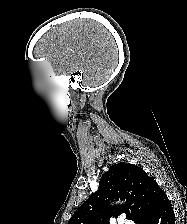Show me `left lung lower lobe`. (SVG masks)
<instances>
[{
	"mask_svg": "<svg viewBox=\"0 0 187 224\" xmlns=\"http://www.w3.org/2000/svg\"><path fill=\"white\" fill-rule=\"evenodd\" d=\"M139 224H175V214L168 197L161 189L148 215Z\"/></svg>",
	"mask_w": 187,
	"mask_h": 224,
	"instance_id": "left-lung-lower-lobe-1",
	"label": "left lung lower lobe"
}]
</instances>
